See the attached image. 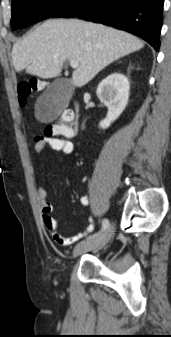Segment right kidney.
<instances>
[{"mask_svg":"<svg viewBox=\"0 0 171 337\" xmlns=\"http://www.w3.org/2000/svg\"><path fill=\"white\" fill-rule=\"evenodd\" d=\"M130 84L128 78L120 73L106 77L97 88V96L107 108L108 113L99 124L100 128H108L124 111L129 99Z\"/></svg>","mask_w":171,"mask_h":337,"instance_id":"1","label":"right kidney"}]
</instances>
